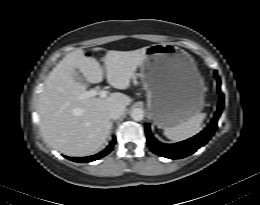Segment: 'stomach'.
I'll list each match as a JSON object with an SVG mask.
<instances>
[{"mask_svg":"<svg viewBox=\"0 0 260 205\" xmlns=\"http://www.w3.org/2000/svg\"><path fill=\"white\" fill-rule=\"evenodd\" d=\"M140 78L149 117L160 129L175 127L204 107V79L194 58L172 43L147 47Z\"/></svg>","mask_w":260,"mask_h":205,"instance_id":"1","label":"stomach"}]
</instances>
